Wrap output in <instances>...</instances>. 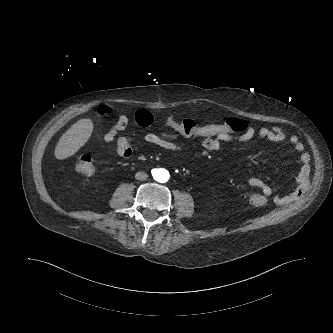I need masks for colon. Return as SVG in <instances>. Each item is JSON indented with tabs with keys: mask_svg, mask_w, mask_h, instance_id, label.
<instances>
[{
	"mask_svg": "<svg viewBox=\"0 0 333 333\" xmlns=\"http://www.w3.org/2000/svg\"><path fill=\"white\" fill-rule=\"evenodd\" d=\"M99 114L108 116L112 114V110L108 106H102ZM166 124L184 137L221 138L244 132L247 129V123L239 118H229L222 123L200 124L191 119L179 121L173 116H169L166 118ZM74 169L80 174L91 175L95 173L96 166L90 156L83 155L74 160ZM246 198L257 207H264L268 203L267 197L260 193H247Z\"/></svg>",
	"mask_w": 333,
	"mask_h": 333,
	"instance_id": "1",
	"label": "colon"
}]
</instances>
